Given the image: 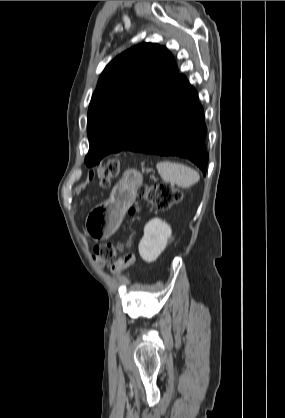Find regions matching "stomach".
<instances>
[{"mask_svg": "<svg viewBox=\"0 0 285 418\" xmlns=\"http://www.w3.org/2000/svg\"><path fill=\"white\" fill-rule=\"evenodd\" d=\"M143 176L135 169L124 172L123 179L112 190L109 200L91 211L86 231L96 241L107 239L119 227L126 210L134 203Z\"/></svg>", "mask_w": 285, "mask_h": 418, "instance_id": "1", "label": "stomach"}]
</instances>
